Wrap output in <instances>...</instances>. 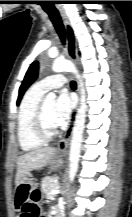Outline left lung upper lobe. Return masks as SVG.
Segmentation results:
<instances>
[{
	"instance_id": "left-lung-upper-lobe-1",
	"label": "left lung upper lobe",
	"mask_w": 132,
	"mask_h": 217,
	"mask_svg": "<svg viewBox=\"0 0 132 217\" xmlns=\"http://www.w3.org/2000/svg\"><path fill=\"white\" fill-rule=\"evenodd\" d=\"M37 75H38V62L35 61L30 65V67H29V69H28V71L24 77V80L22 82V85L20 86L17 105H19L24 92L35 81V79L37 78Z\"/></svg>"
}]
</instances>
